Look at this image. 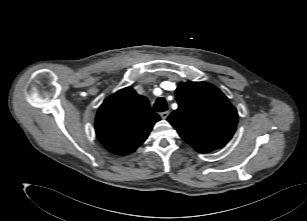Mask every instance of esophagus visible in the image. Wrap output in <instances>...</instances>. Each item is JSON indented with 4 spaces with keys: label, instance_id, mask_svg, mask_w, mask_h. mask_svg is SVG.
Listing matches in <instances>:
<instances>
[{
    "label": "esophagus",
    "instance_id": "34e87169",
    "mask_svg": "<svg viewBox=\"0 0 307 221\" xmlns=\"http://www.w3.org/2000/svg\"><path fill=\"white\" fill-rule=\"evenodd\" d=\"M170 112L167 110V111H164L160 114L161 118L162 119H166L168 116H169Z\"/></svg>",
    "mask_w": 307,
    "mask_h": 221
}]
</instances>
